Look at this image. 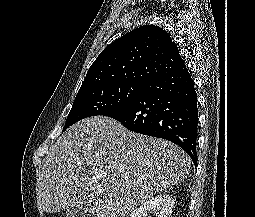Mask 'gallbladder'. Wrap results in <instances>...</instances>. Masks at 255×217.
<instances>
[{
	"mask_svg": "<svg viewBox=\"0 0 255 217\" xmlns=\"http://www.w3.org/2000/svg\"><path fill=\"white\" fill-rule=\"evenodd\" d=\"M66 217H90L87 206L76 205L66 210Z\"/></svg>",
	"mask_w": 255,
	"mask_h": 217,
	"instance_id": "bac80fb5",
	"label": "gallbladder"
}]
</instances>
